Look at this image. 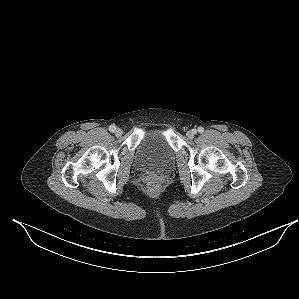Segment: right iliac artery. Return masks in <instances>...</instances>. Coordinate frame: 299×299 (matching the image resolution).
<instances>
[{
  "label": "right iliac artery",
  "mask_w": 299,
  "mask_h": 299,
  "mask_svg": "<svg viewBox=\"0 0 299 299\" xmlns=\"http://www.w3.org/2000/svg\"><path fill=\"white\" fill-rule=\"evenodd\" d=\"M115 130H116V126L115 125H110L109 126V131L110 132H115Z\"/></svg>",
  "instance_id": "82829eb1"
}]
</instances>
